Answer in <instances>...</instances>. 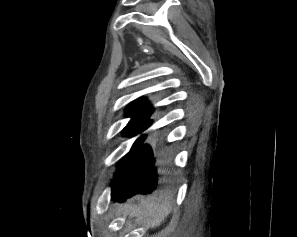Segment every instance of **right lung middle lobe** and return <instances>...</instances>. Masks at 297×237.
<instances>
[{
	"label": "right lung middle lobe",
	"mask_w": 297,
	"mask_h": 237,
	"mask_svg": "<svg viewBox=\"0 0 297 237\" xmlns=\"http://www.w3.org/2000/svg\"><path fill=\"white\" fill-rule=\"evenodd\" d=\"M152 121L151 120H141L136 122H130L124 129V134L127 136H136L143 131H145L150 125ZM144 135L139 137L135 143L133 144L130 152L119 162L118 171L115 175L114 181L112 183V186L117 187L120 183V178L122 177V174L130 160V157L132 156L133 152L136 150L138 145L141 143V141L144 139Z\"/></svg>",
	"instance_id": "right-lung-middle-lobe-1"
}]
</instances>
